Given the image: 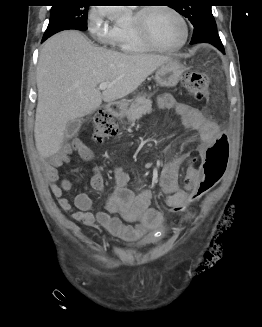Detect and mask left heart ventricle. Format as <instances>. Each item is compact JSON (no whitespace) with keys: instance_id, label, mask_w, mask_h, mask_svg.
<instances>
[{"instance_id":"b2bd125f","label":"left heart ventricle","mask_w":262,"mask_h":327,"mask_svg":"<svg viewBox=\"0 0 262 327\" xmlns=\"http://www.w3.org/2000/svg\"><path fill=\"white\" fill-rule=\"evenodd\" d=\"M147 29L162 46H175L183 39V26L179 19L165 9L150 11L146 17Z\"/></svg>"}]
</instances>
